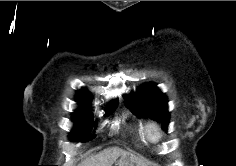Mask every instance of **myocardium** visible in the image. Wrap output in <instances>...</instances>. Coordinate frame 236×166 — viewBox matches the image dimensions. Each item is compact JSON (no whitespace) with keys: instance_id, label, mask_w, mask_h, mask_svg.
I'll return each instance as SVG.
<instances>
[{"instance_id":"myocardium-1","label":"myocardium","mask_w":236,"mask_h":166,"mask_svg":"<svg viewBox=\"0 0 236 166\" xmlns=\"http://www.w3.org/2000/svg\"><path fill=\"white\" fill-rule=\"evenodd\" d=\"M145 138L152 143L160 140L162 137L161 126L155 121H149L144 125Z\"/></svg>"}]
</instances>
